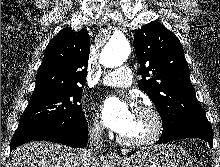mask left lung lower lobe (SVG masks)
<instances>
[{
	"mask_svg": "<svg viewBox=\"0 0 220 167\" xmlns=\"http://www.w3.org/2000/svg\"><path fill=\"white\" fill-rule=\"evenodd\" d=\"M184 138H200L213 146V132L211 125L207 119L192 121L183 125L174 133H162L157 144L171 142L173 140Z\"/></svg>",
	"mask_w": 220,
	"mask_h": 167,
	"instance_id": "1",
	"label": "left lung lower lobe"
}]
</instances>
